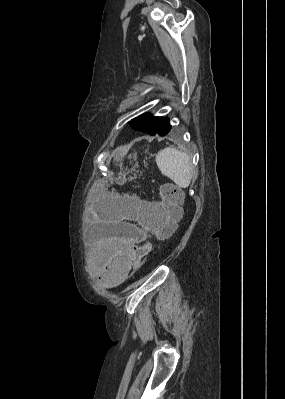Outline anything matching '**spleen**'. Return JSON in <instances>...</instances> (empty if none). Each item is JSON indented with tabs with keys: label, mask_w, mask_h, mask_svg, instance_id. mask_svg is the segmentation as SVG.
Returning a JSON list of instances; mask_svg holds the SVG:
<instances>
[{
	"label": "spleen",
	"mask_w": 285,
	"mask_h": 399,
	"mask_svg": "<svg viewBox=\"0 0 285 399\" xmlns=\"http://www.w3.org/2000/svg\"><path fill=\"white\" fill-rule=\"evenodd\" d=\"M156 163L161 173L181 188H187L192 179L190 157L177 148L167 147L156 155Z\"/></svg>",
	"instance_id": "spleen-1"
}]
</instances>
